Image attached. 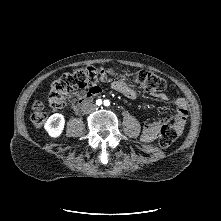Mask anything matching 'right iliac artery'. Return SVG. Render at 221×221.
<instances>
[{
    "label": "right iliac artery",
    "instance_id": "82829eb1",
    "mask_svg": "<svg viewBox=\"0 0 221 221\" xmlns=\"http://www.w3.org/2000/svg\"><path fill=\"white\" fill-rule=\"evenodd\" d=\"M96 104H97V105H101V104H102V101L99 99V100L96 101Z\"/></svg>",
    "mask_w": 221,
    "mask_h": 221
}]
</instances>
